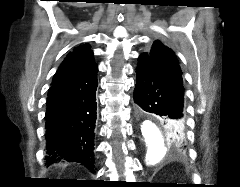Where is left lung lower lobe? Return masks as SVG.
Wrapping results in <instances>:
<instances>
[{
	"mask_svg": "<svg viewBox=\"0 0 240 187\" xmlns=\"http://www.w3.org/2000/svg\"><path fill=\"white\" fill-rule=\"evenodd\" d=\"M136 74L134 102L139 117L164 120L172 139L181 137V133L184 134L183 85L165 76L147 56L139 58Z\"/></svg>",
	"mask_w": 240,
	"mask_h": 187,
	"instance_id": "1",
	"label": "left lung lower lobe"
}]
</instances>
